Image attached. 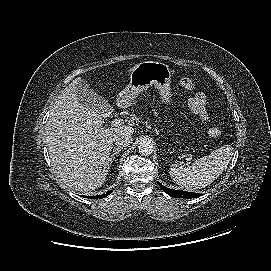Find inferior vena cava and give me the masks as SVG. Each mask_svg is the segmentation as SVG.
<instances>
[{
	"mask_svg": "<svg viewBox=\"0 0 271 271\" xmlns=\"http://www.w3.org/2000/svg\"><path fill=\"white\" fill-rule=\"evenodd\" d=\"M113 142L118 147H126L131 143V134L126 131H121L113 136Z\"/></svg>",
	"mask_w": 271,
	"mask_h": 271,
	"instance_id": "602c4592",
	"label": "inferior vena cava"
}]
</instances>
